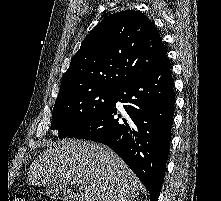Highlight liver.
I'll return each mask as SVG.
<instances>
[{
	"instance_id": "6515ba94",
	"label": "liver",
	"mask_w": 221,
	"mask_h": 201,
	"mask_svg": "<svg viewBox=\"0 0 221 201\" xmlns=\"http://www.w3.org/2000/svg\"><path fill=\"white\" fill-rule=\"evenodd\" d=\"M27 181L35 186L81 183L72 201L133 199L141 182L110 148L83 140L50 143L30 165Z\"/></svg>"
}]
</instances>
